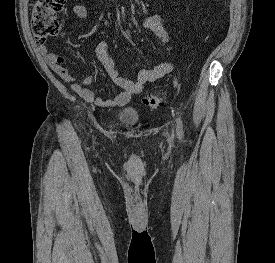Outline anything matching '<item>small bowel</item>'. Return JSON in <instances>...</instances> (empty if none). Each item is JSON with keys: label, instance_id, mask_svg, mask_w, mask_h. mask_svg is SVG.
Returning <instances> with one entry per match:
<instances>
[{"label": "small bowel", "instance_id": "c3829d8e", "mask_svg": "<svg viewBox=\"0 0 275 263\" xmlns=\"http://www.w3.org/2000/svg\"><path fill=\"white\" fill-rule=\"evenodd\" d=\"M73 14L81 20L88 16V10L85 5L76 4L71 8ZM142 26L153 32L164 44L170 41V35L164 27L159 16L149 14L142 20ZM38 50L44 56L46 63L51 69L66 83L71 84V88L84 100L94 103L96 106L104 109L126 106L131 97L143 92L144 86L171 74L175 67L172 62L162 61L153 68H143L138 72L136 80H130L124 77L116 68L115 62L109 54V44L101 40L96 44L95 53L100 60L103 69L108 73L110 81L120 87L122 91L114 98H99L88 89V86L94 81L93 76H87L82 82H75V76L64 67L65 59L63 56L50 52L46 44H39Z\"/></svg>", "mask_w": 275, "mask_h": 263}]
</instances>
